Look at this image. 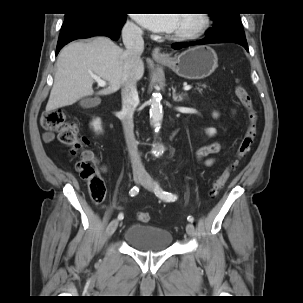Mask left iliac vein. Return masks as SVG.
<instances>
[{
  "label": "left iliac vein",
  "mask_w": 303,
  "mask_h": 303,
  "mask_svg": "<svg viewBox=\"0 0 303 303\" xmlns=\"http://www.w3.org/2000/svg\"><path fill=\"white\" fill-rule=\"evenodd\" d=\"M141 184L143 187H145L148 190L154 189L153 180L149 174H145L144 179L141 181ZM186 232L189 236L194 235L195 227H194L193 223H188L186 225Z\"/></svg>",
  "instance_id": "4c4485c4"
}]
</instances>
